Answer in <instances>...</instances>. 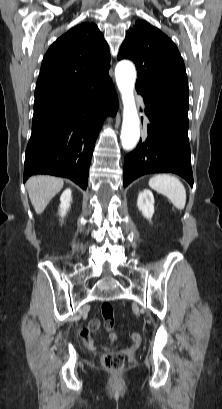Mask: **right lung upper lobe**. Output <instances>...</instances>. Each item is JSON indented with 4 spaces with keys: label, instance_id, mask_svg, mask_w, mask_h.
Segmentation results:
<instances>
[{
    "label": "right lung upper lobe",
    "instance_id": "right-lung-upper-lobe-1",
    "mask_svg": "<svg viewBox=\"0 0 222 409\" xmlns=\"http://www.w3.org/2000/svg\"><path fill=\"white\" fill-rule=\"evenodd\" d=\"M109 68V48L97 26L84 22L73 27L45 54L34 108L82 95L95 79L109 75Z\"/></svg>",
    "mask_w": 222,
    "mask_h": 409
}]
</instances>
